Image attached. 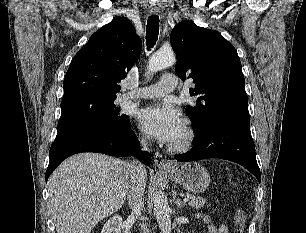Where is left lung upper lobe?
<instances>
[{
  "label": "left lung upper lobe",
  "mask_w": 306,
  "mask_h": 233,
  "mask_svg": "<svg viewBox=\"0 0 306 233\" xmlns=\"http://www.w3.org/2000/svg\"><path fill=\"white\" fill-rule=\"evenodd\" d=\"M177 56L176 73L181 80L192 78L196 105L186 107L198 133L224 121L250 122L248 97L241 61L234 46L220 33L181 22L170 35Z\"/></svg>",
  "instance_id": "obj_1"
}]
</instances>
